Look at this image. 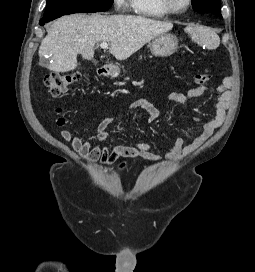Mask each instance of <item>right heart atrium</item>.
Instances as JSON below:
<instances>
[{"label": "right heart atrium", "instance_id": "right-heart-atrium-1", "mask_svg": "<svg viewBox=\"0 0 255 272\" xmlns=\"http://www.w3.org/2000/svg\"><path fill=\"white\" fill-rule=\"evenodd\" d=\"M114 7L119 12L128 11L132 7V0H113Z\"/></svg>", "mask_w": 255, "mask_h": 272}]
</instances>
